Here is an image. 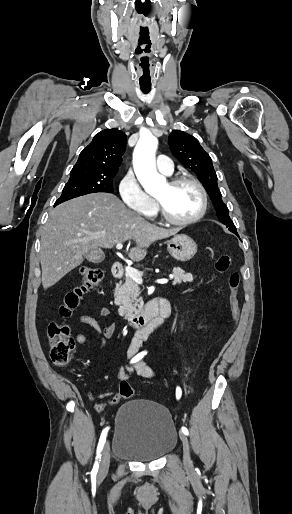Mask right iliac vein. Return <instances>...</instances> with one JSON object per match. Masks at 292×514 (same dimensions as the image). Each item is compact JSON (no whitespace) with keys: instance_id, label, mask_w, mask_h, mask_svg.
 <instances>
[{"instance_id":"63e3f726","label":"right iliac vein","mask_w":292,"mask_h":514,"mask_svg":"<svg viewBox=\"0 0 292 514\" xmlns=\"http://www.w3.org/2000/svg\"><path fill=\"white\" fill-rule=\"evenodd\" d=\"M110 458H111L110 445H109V442H107L103 448L102 457L100 460V467H99V472H98V476L100 478H103L104 476H106V474L109 470Z\"/></svg>"}]
</instances>
